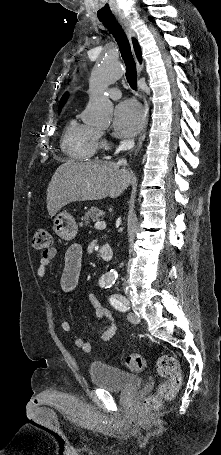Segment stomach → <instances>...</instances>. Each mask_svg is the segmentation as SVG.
<instances>
[{
    "instance_id": "1",
    "label": "stomach",
    "mask_w": 221,
    "mask_h": 455,
    "mask_svg": "<svg viewBox=\"0 0 221 455\" xmlns=\"http://www.w3.org/2000/svg\"><path fill=\"white\" fill-rule=\"evenodd\" d=\"M53 230L61 239L70 241L75 238L78 226L71 214L61 212L53 220Z\"/></svg>"
}]
</instances>
